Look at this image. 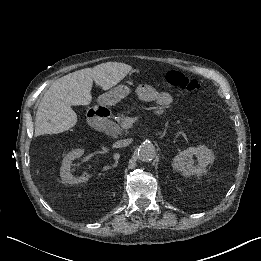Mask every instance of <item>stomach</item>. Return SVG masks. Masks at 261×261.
<instances>
[{"mask_svg":"<svg viewBox=\"0 0 261 261\" xmlns=\"http://www.w3.org/2000/svg\"><path fill=\"white\" fill-rule=\"evenodd\" d=\"M131 90L127 85H118L99 97V102L105 105H115L130 94Z\"/></svg>","mask_w":261,"mask_h":261,"instance_id":"obj_1","label":"stomach"}]
</instances>
